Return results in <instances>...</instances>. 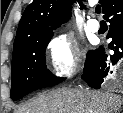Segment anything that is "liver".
<instances>
[{
    "mask_svg": "<svg viewBox=\"0 0 123 113\" xmlns=\"http://www.w3.org/2000/svg\"><path fill=\"white\" fill-rule=\"evenodd\" d=\"M121 96L95 90L60 88L42 93L16 113H120Z\"/></svg>",
    "mask_w": 123,
    "mask_h": 113,
    "instance_id": "6515ba94",
    "label": "liver"
}]
</instances>
